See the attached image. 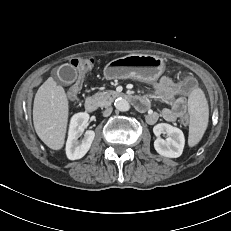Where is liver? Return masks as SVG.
I'll use <instances>...</instances> for the list:
<instances>
[{
	"instance_id": "liver-1",
	"label": "liver",
	"mask_w": 231,
	"mask_h": 231,
	"mask_svg": "<svg viewBox=\"0 0 231 231\" xmlns=\"http://www.w3.org/2000/svg\"><path fill=\"white\" fill-rule=\"evenodd\" d=\"M68 112L64 88L49 77L35 95L33 124L38 137L53 150H60L64 145Z\"/></svg>"
}]
</instances>
